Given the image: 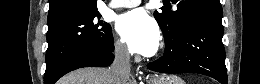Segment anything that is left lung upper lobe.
<instances>
[{"instance_id": "obj_1", "label": "left lung upper lobe", "mask_w": 260, "mask_h": 84, "mask_svg": "<svg viewBox=\"0 0 260 84\" xmlns=\"http://www.w3.org/2000/svg\"><path fill=\"white\" fill-rule=\"evenodd\" d=\"M177 10L162 7L156 11L157 20L165 38L173 37L181 26L194 17H219L222 18V7L219 0H173Z\"/></svg>"}]
</instances>
